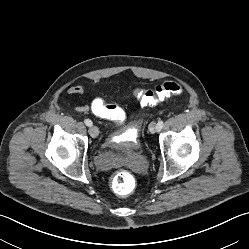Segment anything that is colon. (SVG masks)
Here are the masks:
<instances>
[{
  "label": "colon",
  "instance_id": "5ec220e1",
  "mask_svg": "<svg viewBox=\"0 0 249 249\" xmlns=\"http://www.w3.org/2000/svg\"><path fill=\"white\" fill-rule=\"evenodd\" d=\"M182 92L183 87L180 83L169 80L157 85L152 90L136 89L134 95L142 105L154 106L171 96L180 95ZM115 114L116 113H113L110 116ZM133 188L134 177L127 170L118 171L112 179V189L120 196L130 194Z\"/></svg>",
  "mask_w": 249,
  "mask_h": 249
}]
</instances>
